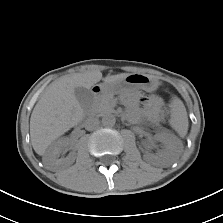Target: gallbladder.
Wrapping results in <instances>:
<instances>
[{
    "mask_svg": "<svg viewBox=\"0 0 223 223\" xmlns=\"http://www.w3.org/2000/svg\"><path fill=\"white\" fill-rule=\"evenodd\" d=\"M74 93L80 106L86 110L93 99V93L91 90L84 87H76Z\"/></svg>",
    "mask_w": 223,
    "mask_h": 223,
    "instance_id": "obj_1",
    "label": "gallbladder"
}]
</instances>
